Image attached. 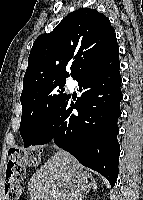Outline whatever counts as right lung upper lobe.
<instances>
[{"label": "right lung upper lobe", "instance_id": "right-lung-upper-lobe-1", "mask_svg": "<svg viewBox=\"0 0 143 200\" xmlns=\"http://www.w3.org/2000/svg\"><path fill=\"white\" fill-rule=\"evenodd\" d=\"M114 32L109 19L95 9L69 13L51 33L34 41L23 91L42 83L66 80L69 75L74 79L88 65L118 47Z\"/></svg>", "mask_w": 143, "mask_h": 200}]
</instances>
